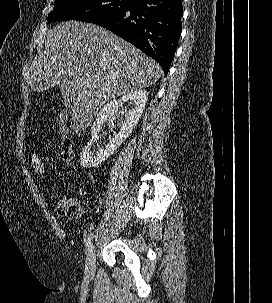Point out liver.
<instances>
[{
	"label": "liver",
	"instance_id": "1",
	"mask_svg": "<svg viewBox=\"0 0 272 303\" xmlns=\"http://www.w3.org/2000/svg\"><path fill=\"white\" fill-rule=\"evenodd\" d=\"M161 73L155 60L112 32L68 21L47 31L45 50L30 68V86L43 92L59 85L71 127L80 134L104 103L155 84Z\"/></svg>",
	"mask_w": 272,
	"mask_h": 303
}]
</instances>
